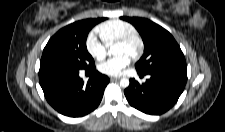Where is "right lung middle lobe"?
Segmentation results:
<instances>
[{
    "mask_svg": "<svg viewBox=\"0 0 225 132\" xmlns=\"http://www.w3.org/2000/svg\"><path fill=\"white\" fill-rule=\"evenodd\" d=\"M104 18L74 22L59 30L45 46L40 67H63L74 70L89 69L94 60L86 48L91 28Z\"/></svg>",
    "mask_w": 225,
    "mask_h": 132,
    "instance_id": "right-lung-middle-lobe-1",
    "label": "right lung middle lobe"
}]
</instances>
